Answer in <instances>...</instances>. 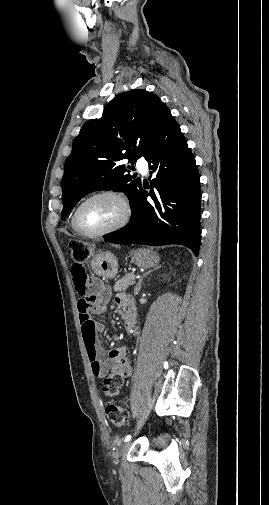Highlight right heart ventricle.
Segmentation results:
<instances>
[{
  "label": "right heart ventricle",
  "mask_w": 269,
  "mask_h": 505,
  "mask_svg": "<svg viewBox=\"0 0 269 505\" xmlns=\"http://www.w3.org/2000/svg\"><path fill=\"white\" fill-rule=\"evenodd\" d=\"M73 217H74V213L72 214L71 219H70V226H71V229H72V230H73V232H75L76 234H80V233L77 231V229L75 228V226H74Z\"/></svg>",
  "instance_id": "e07e8e85"
}]
</instances>
